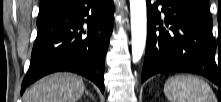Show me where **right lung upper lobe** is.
Wrapping results in <instances>:
<instances>
[{
  "mask_svg": "<svg viewBox=\"0 0 221 102\" xmlns=\"http://www.w3.org/2000/svg\"><path fill=\"white\" fill-rule=\"evenodd\" d=\"M70 0H41L39 10L43 9H59Z\"/></svg>",
  "mask_w": 221,
  "mask_h": 102,
  "instance_id": "obj_1",
  "label": "right lung upper lobe"
}]
</instances>
